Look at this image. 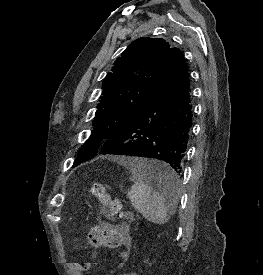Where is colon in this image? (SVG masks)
I'll return each mask as SVG.
<instances>
[{
	"mask_svg": "<svg viewBox=\"0 0 263 275\" xmlns=\"http://www.w3.org/2000/svg\"><path fill=\"white\" fill-rule=\"evenodd\" d=\"M90 193L97 199L100 206L107 209L112 217L119 218L125 216L121 203L112 198L105 186L100 182H92ZM87 244L94 247L114 248L119 244V237L116 231L110 226H99L93 228L87 236ZM95 265L92 261H82L77 263L81 271L91 269Z\"/></svg>",
	"mask_w": 263,
	"mask_h": 275,
	"instance_id": "obj_1",
	"label": "colon"
}]
</instances>
